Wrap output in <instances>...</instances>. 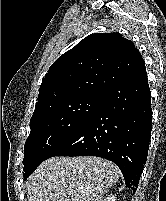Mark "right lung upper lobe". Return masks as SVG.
<instances>
[{"instance_id":"cb5924a9","label":"right lung upper lobe","mask_w":166,"mask_h":201,"mask_svg":"<svg viewBox=\"0 0 166 201\" xmlns=\"http://www.w3.org/2000/svg\"><path fill=\"white\" fill-rule=\"evenodd\" d=\"M141 60L133 42L119 33L87 36L49 68L32 117L68 99L103 95Z\"/></svg>"}]
</instances>
